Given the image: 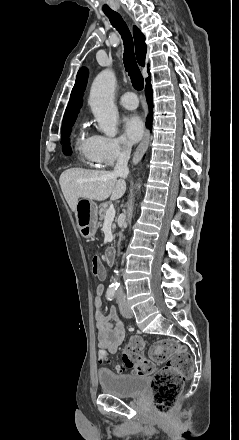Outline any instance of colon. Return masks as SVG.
Here are the masks:
<instances>
[{
    "label": "colon",
    "instance_id": "5ec220e1",
    "mask_svg": "<svg viewBox=\"0 0 239 440\" xmlns=\"http://www.w3.org/2000/svg\"><path fill=\"white\" fill-rule=\"evenodd\" d=\"M92 273L95 277H105L104 268L97 256L92 258ZM144 342L139 336L132 337L124 347L123 366H117L118 372L126 369L136 374H152V398L155 410L166 414L172 410L182 391L184 382L191 376L193 360L190 353L173 340H161L154 344L151 360L143 354ZM103 361H108L106 352H100ZM164 363L163 367L155 370L154 363Z\"/></svg>",
    "mask_w": 239,
    "mask_h": 440
}]
</instances>
